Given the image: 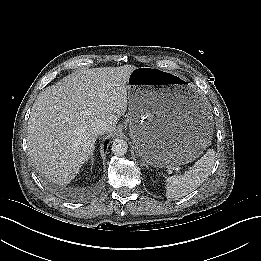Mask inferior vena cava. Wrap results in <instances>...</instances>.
<instances>
[{"mask_svg": "<svg viewBox=\"0 0 261 261\" xmlns=\"http://www.w3.org/2000/svg\"><path fill=\"white\" fill-rule=\"evenodd\" d=\"M108 130L107 128V124L103 121H96L93 125H92V131L95 135H102L104 133H106Z\"/></svg>", "mask_w": 261, "mask_h": 261, "instance_id": "inferior-vena-cava-1", "label": "inferior vena cava"}]
</instances>
